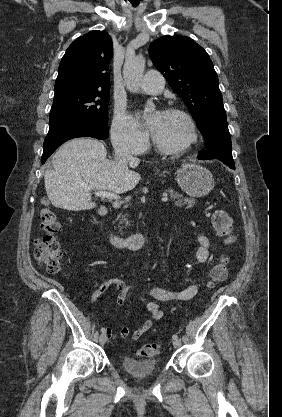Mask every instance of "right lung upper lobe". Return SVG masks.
I'll list each match as a JSON object with an SVG mask.
<instances>
[{
    "label": "right lung upper lobe",
    "instance_id": "right-lung-upper-lobe-1",
    "mask_svg": "<svg viewBox=\"0 0 282 417\" xmlns=\"http://www.w3.org/2000/svg\"><path fill=\"white\" fill-rule=\"evenodd\" d=\"M112 53L113 43L105 31L79 37L60 62L55 92L83 88L109 91Z\"/></svg>",
    "mask_w": 282,
    "mask_h": 417
}]
</instances>
